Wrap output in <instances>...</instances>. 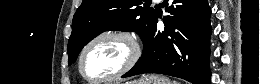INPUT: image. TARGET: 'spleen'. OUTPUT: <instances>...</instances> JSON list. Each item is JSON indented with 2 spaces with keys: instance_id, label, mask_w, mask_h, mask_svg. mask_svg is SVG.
Segmentation results:
<instances>
[{
  "instance_id": "3e777b00",
  "label": "spleen",
  "mask_w": 260,
  "mask_h": 84,
  "mask_svg": "<svg viewBox=\"0 0 260 84\" xmlns=\"http://www.w3.org/2000/svg\"><path fill=\"white\" fill-rule=\"evenodd\" d=\"M173 84H179V83H177L176 81H174Z\"/></svg>"
}]
</instances>
